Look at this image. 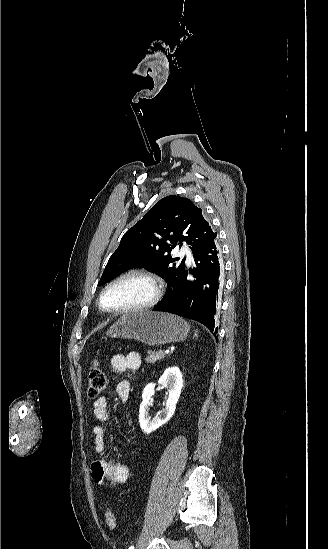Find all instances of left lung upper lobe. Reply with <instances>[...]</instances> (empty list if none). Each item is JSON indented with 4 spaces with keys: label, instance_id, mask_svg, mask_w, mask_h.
<instances>
[{
    "label": "left lung upper lobe",
    "instance_id": "obj_1",
    "mask_svg": "<svg viewBox=\"0 0 328 549\" xmlns=\"http://www.w3.org/2000/svg\"><path fill=\"white\" fill-rule=\"evenodd\" d=\"M217 236L191 200L176 195L158 201L122 237L99 281L103 285L131 268H145L168 284L169 294L185 270V258H173L172 249L186 242L193 254Z\"/></svg>",
    "mask_w": 328,
    "mask_h": 549
}]
</instances>
